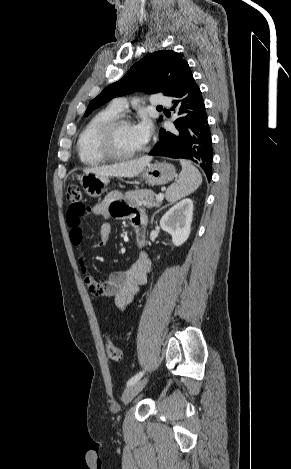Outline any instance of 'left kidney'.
I'll return each mask as SVG.
<instances>
[{
    "label": "left kidney",
    "mask_w": 291,
    "mask_h": 469,
    "mask_svg": "<svg viewBox=\"0 0 291 469\" xmlns=\"http://www.w3.org/2000/svg\"><path fill=\"white\" fill-rule=\"evenodd\" d=\"M193 219V201L186 198L172 206L161 218V228L172 236L175 246L189 238Z\"/></svg>",
    "instance_id": "left-kidney-1"
}]
</instances>
